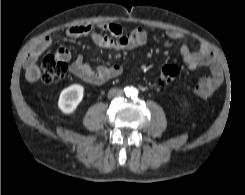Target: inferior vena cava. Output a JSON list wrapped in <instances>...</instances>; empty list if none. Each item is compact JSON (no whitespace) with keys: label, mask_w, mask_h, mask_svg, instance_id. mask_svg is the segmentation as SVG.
<instances>
[{"label":"inferior vena cava","mask_w":245,"mask_h":195,"mask_svg":"<svg viewBox=\"0 0 245 195\" xmlns=\"http://www.w3.org/2000/svg\"><path fill=\"white\" fill-rule=\"evenodd\" d=\"M123 95V91L118 88H112L108 92V98L113 99V98H118Z\"/></svg>","instance_id":"602c4592"}]
</instances>
